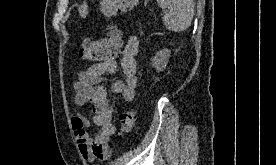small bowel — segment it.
I'll return each instance as SVG.
<instances>
[{
	"mask_svg": "<svg viewBox=\"0 0 276 165\" xmlns=\"http://www.w3.org/2000/svg\"><path fill=\"white\" fill-rule=\"evenodd\" d=\"M139 42L130 36L120 54L119 62L108 60L91 65L81 71L74 83V103L78 108L92 105V121L99 128L90 136L87 132L89 120L76 113L71 118L74 137L83 158L87 161L105 160L109 156L108 141L115 132L112 123L113 110L108 98V91L102 80L105 75L114 74L120 67L123 79L111 84V91L120 95L125 101H132L137 86V62Z\"/></svg>",
	"mask_w": 276,
	"mask_h": 165,
	"instance_id": "small-bowel-1",
	"label": "small bowel"
}]
</instances>
